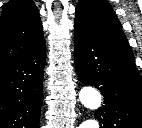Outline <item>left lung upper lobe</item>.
Here are the masks:
<instances>
[{
	"instance_id": "5c2ea615",
	"label": "left lung upper lobe",
	"mask_w": 142,
	"mask_h": 128,
	"mask_svg": "<svg viewBox=\"0 0 142 128\" xmlns=\"http://www.w3.org/2000/svg\"><path fill=\"white\" fill-rule=\"evenodd\" d=\"M75 26L105 41L130 47L115 12L106 0H80L76 7Z\"/></svg>"
}]
</instances>
